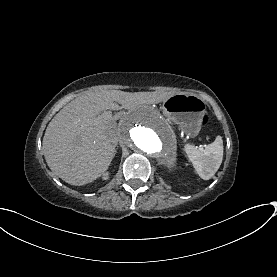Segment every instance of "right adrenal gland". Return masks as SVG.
Segmentation results:
<instances>
[{
	"mask_svg": "<svg viewBox=\"0 0 277 277\" xmlns=\"http://www.w3.org/2000/svg\"><path fill=\"white\" fill-rule=\"evenodd\" d=\"M115 147H116V149H117V148H118V145L116 144Z\"/></svg>",
	"mask_w": 277,
	"mask_h": 277,
	"instance_id": "1",
	"label": "right adrenal gland"
}]
</instances>
